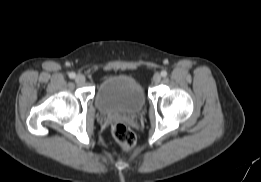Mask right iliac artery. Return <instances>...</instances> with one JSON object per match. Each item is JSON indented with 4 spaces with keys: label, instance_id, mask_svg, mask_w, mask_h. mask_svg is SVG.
<instances>
[{
    "label": "right iliac artery",
    "instance_id": "obj_1",
    "mask_svg": "<svg viewBox=\"0 0 261 182\" xmlns=\"http://www.w3.org/2000/svg\"><path fill=\"white\" fill-rule=\"evenodd\" d=\"M76 74L74 72L69 73L70 78H75Z\"/></svg>",
    "mask_w": 261,
    "mask_h": 182
}]
</instances>
